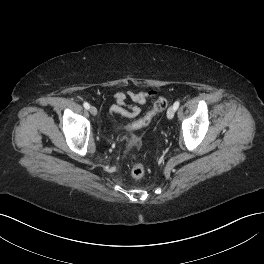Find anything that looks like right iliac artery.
Masks as SVG:
<instances>
[{"label":"right iliac artery","mask_w":264,"mask_h":264,"mask_svg":"<svg viewBox=\"0 0 264 264\" xmlns=\"http://www.w3.org/2000/svg\"><path fill=\"white\" fill-rule=\"evenodd\" d=\"M83 106H84V108L87 109V110L90 108V105H89V103H87V102H84Z\"/></svg>","instance_id":"obj_1"}]
</instances>
